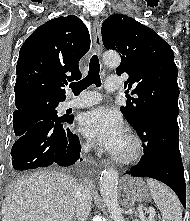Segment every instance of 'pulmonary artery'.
I'll return each instance as SVG.
<instances>
[{
  "label": "pulmonary artery",
  "instance_id": "obj_1",
  "mask_svg": "<svg viewBox=\"0 0 190 221\" xmlns=\"http://www.w3.org/2000/svg\"><path fill=\"white\" fill-rule=\"evenodd\" d=\"M105 87L108 91H116L120 89L121 83L117 77H109L106 79ZM100 101V96L96 92H85L81 96L69 99L64 102L65 108L80 109L92 106Z\"/></svg>",
  "mask_w": 190,
  "mask_h": 221
}]
</instances>
